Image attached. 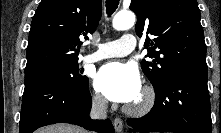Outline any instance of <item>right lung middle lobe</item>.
<instances>
[{"mask_svg":"<svg viewBox=\"0 0 221 133\" xmlns=\"http://www.w3.org/2000/svg\"><path fill=\"white\" fill-rule=\"evenodd\" d=\"M35 73H48L56 75L73 86H79L88 82V77L81 75L82 71H79V65L77 62L50 65L38 70Z\"/></svg>","mask_w":221,"mask_h":133,"instance_id":"dd1d6c3e","label":"right lung middle lobe"}]
</instances>
